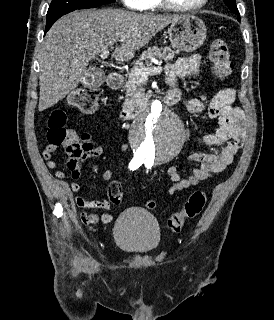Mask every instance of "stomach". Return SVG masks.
Segmentation results:
<instances>
[{"instance_id": "obj_1", "label": "stomach", "mask_w": 274, "mask_h": 320, "mask_svg": "<svg viewBox=\"0 0 274 320\" xmlns=\"http://www.w3.org/2000/svg\"><path fill=\"white\" fill-rule=\"evenodd\" d=\"M171 46L179 52H195L202 46L207 30L204 22L197 16H178L168 30Z\"/></svg>"}]
</instances>
